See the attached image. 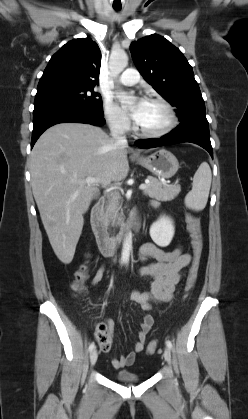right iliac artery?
<instances>
[{"label": "right iliac artery", "mask_w": 248, "mask_h": 419, "mask_svg": "<svg viewBox=\"0 0 248 419\" xmlns=\"http://www.w3.org/2000/svg\"><path fill=\"white\" fill-rule=\"evenodd\" d=\"M95 348L94 342L89 345V351H92Z\"/></svg>", "instance_id": "1"}]
</instances>
